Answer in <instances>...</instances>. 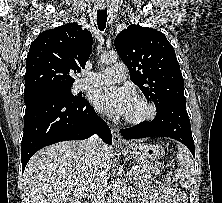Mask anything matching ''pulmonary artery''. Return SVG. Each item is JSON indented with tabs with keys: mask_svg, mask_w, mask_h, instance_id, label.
<instances>
[{
	"mask_svg": "<svg viewBox=\"0 0 222 203\" xmlns=\"http://www.w3.org/2000/svg\"><path fill=\"white\" fill-rule=\"evenodd\" d=\"M126 77V66L123 63H116L99 72L88 74L87 77L78 81L80 89H86L92 86L119 82Z\"/></svg>",
	"mask_w": 222,
	"mask_h": 203,
	"instance_id": "obj_1",
	"label": "pulmonary artery"
}]
</instances>
